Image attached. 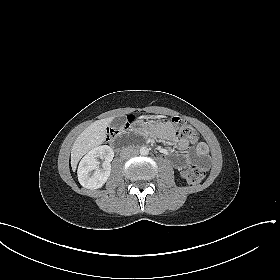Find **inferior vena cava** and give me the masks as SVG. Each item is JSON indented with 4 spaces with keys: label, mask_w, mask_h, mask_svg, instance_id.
<instances>
[{
    "label": "inferior vena cava",
    "mask_w": 280,
    "mask_h": 280,
    "mask_svg": "<svg viewBox=\"0 0 280 280\" xmlns=\"http://www.w3.org/2000/svg\"><path fill=\"white\" fill-rule=\"evenodd\" d=\"M137 154H138V150L133 147H126L121 152V156L123 158H130L131 156H134Z\"/></svg>",
    "instance_id": "602c4592"
}]
</instances>
